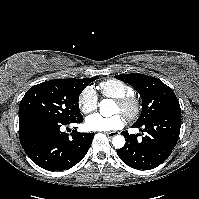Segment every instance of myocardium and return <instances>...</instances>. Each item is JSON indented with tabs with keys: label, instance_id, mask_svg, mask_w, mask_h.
<instances>
[{
	"label": "myocardium",
	"instance_id": "myocardium-1",
	"mask_svg": "<svg viewBox=\"0 0 199 199\" xmlns=\"http://www.w3.org/2000/svg\"><path fill=\"white\" fill-rule=\"evenodd\" d=\"M116 103L119 105L120 111L128 119H135L140 113V100L134 94L118 98Z\"/></svg>",
	"mask_w": 199,
	"mask_h": 199
}]
</instances>
